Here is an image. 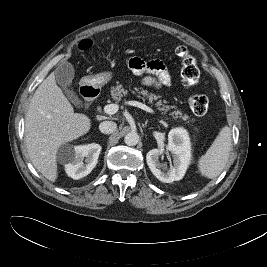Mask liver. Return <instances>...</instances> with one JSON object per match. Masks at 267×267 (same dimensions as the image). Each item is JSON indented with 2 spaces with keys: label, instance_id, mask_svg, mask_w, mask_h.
<instances>
[{
  "label": "liver",
  "instance_id": "obj_1",
  "mask_svg": "<svg viewBox=\"0 0 267 267\" xmlns=\"http://www.w3.org/2000/svg\"><path fill=\"white\" fill-rule=\"evenodd\" d=\"M91 128V120L75 113L52 72L36 89L25 118V142L34 167L49 181L58 177L57 151Z\"/></svg>",
  "mask_w": 267,
  "mask_h": 267
}]
</instances>
